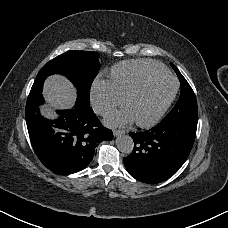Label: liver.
<instances>
[{
    "mask_svg": "<svg viewBox=\"0 0 228 228\" xmlns=\"http://www.w3.org/2000/svg\"><path fill=\"white\" fill-rule=\"evenodd\" d=\"M45 97L53 106L69 107L75 99V88L67 79L53 76L45 83ZM44 113L50 118L54 116L50 110H44Z\"/></svg>",
    "mask_w": 228,
    "mask_h": 228,
    "instance_id": "obj_1",
    "label": "liver"
}]
</instances>
